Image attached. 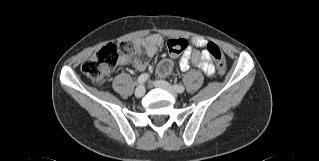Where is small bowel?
Instances as JSON below:
<instances>
[{
  "label": "small bowel",
  "mask_w": 319,
  "mask_h": 161,
  "mask_svg": "<svg viewBox=\"0 0 319 161\" xmlns=\"http://www.w3.org/2000/svg\"><path fill=\"white\" fill-rule=\"evenodd\" d=\"M163 38L159 34H151L135 43L134 56H121L118 60V65H132L138 71H144L147 68V62L138 57L142 52L147 58L153 57L158 48L162 45ZM195 49L193 51L185 52L179 59V68L181 71H187L190 65H195L198 69L208 75L215 72V66L211 62V56L206 50V40L201 38L193 39ZM160 64V63H159ZM159 64L155 67V72L160 77H165L168 73L159 72Z\"/></svg>",
  "instance_id": "c3829d8e"
}]
</instances>
